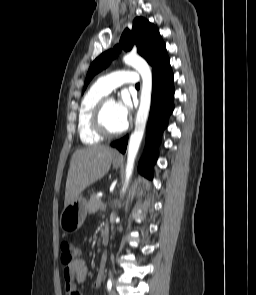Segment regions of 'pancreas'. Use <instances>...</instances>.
I'll list each match as a JSON object with an SVG mask.
<instances>
[{
	"instance_id": "obj_1",
	"label": "pancreas",
	"mask_w": 256,
	"mask_h": 295,
	"mask_svg": "<svg viewBox=\"0 0 256 295\" xmlns=\"http://www.w3.org/2000/svg\"><path fill=\"white\" fill-rule=\"evenodd\" d=\"M99 209H104V203L101 201L96 194H93L90 197L89 204H88V212L93 214L97 212Z\"/></svg>"
}]
</instances>
